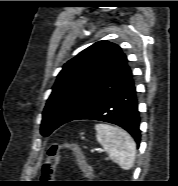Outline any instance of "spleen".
<instances>
[{"mask_svg": "<svg viewBox=\"0 0 178 186\" xmlns=\"http://www.w3.org/2000/svg\"><path fill=\"white\" fill-rule=\"evenodd\" d=\"M96 138L110 159L123 170H130L135 163L136 144L123 129L108 124H96Z\"/></svg>", "mask_w": 178, "mask_h": 186, "instance_id": "spleen-1", "label": "spleen"}]
</instances>
